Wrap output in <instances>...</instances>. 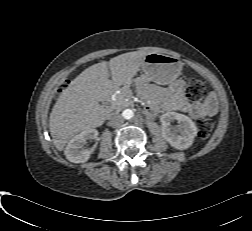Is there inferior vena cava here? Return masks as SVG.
Instances as JSON below:
<instances>
[{"mask_svg":"<svg viewBox=\"0 0 252 231\" xmlns=\"http://www.w3.org/2000/svg\"><path fill=\"white\" fill-rule=\"evenodd\" d=\"M122 122V117L120 115H113L112 117H110L108 124L112 127H116L118 125H120Z\"/></svg>","mask_w":252,"mask_h":231,"instance_id":"inferior-vena-cava-1","label":"inferior vena cava"}]
</instances>
